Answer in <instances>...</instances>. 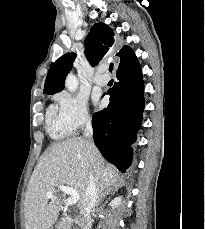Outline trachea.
I'll return each mask as SVG.
<instances>
[{"mask_svg": "<svg viewBox=\"0 0 205 229\" xmlns=\"http://www.w3.org/2000/svg\"><path fill=\"white\" fill-rule=\"evenodd\" d=\"M112 70H113V65H110L109 71L112 72Z\"/></svg>", "mask_w": 205, "mask_h": 229, "instance_id": "1", "label": "trachea"}]
</instances>
